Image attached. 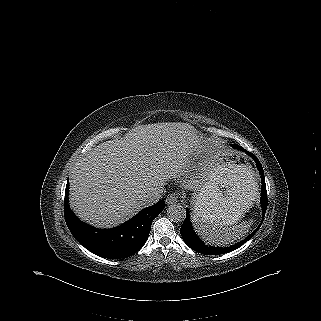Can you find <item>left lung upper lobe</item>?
Instances as JSON below:
<instances>
[{
    "instance_id": "left-lung-upper-lobe-1",
    "label": "left lung upper lobe",
    "mask_w": 321,
    "mask_h": 321,
    "mask_svg": "<svg viewBox=\"0 0 321 321\" xmlns=\"http://www.w3.org/2000/svg\"><path fill=\"white\" fill-rule=\"evenodd\" d=\"M238 145L237 144H232V147H237Z\"/></svg>"
}]
</instances>
